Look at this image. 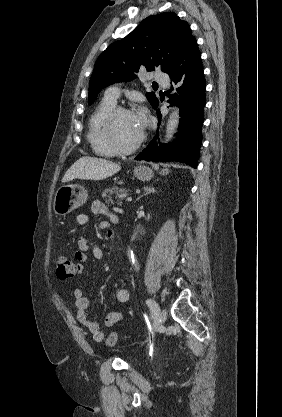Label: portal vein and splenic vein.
<instances>
[{
    "instance_id": "portal-vein-and-splenic-vein-1",
    "label": "portal vein and splenic vein",
    "mask_w": 282,
    "mask_h": 417,
    "mask_svg": "<svg viewBox=\"0 0 282 417\" xmlns=\"http://www.w3.org/2000/svg\"><path fill=\"white\" fill-rule=\"evenodd\" d=\"M130 200H132V198H131V196H128V198H125V199H124V202H125V203H129V202H130Z\"/></svg>"
}]
</instances>
